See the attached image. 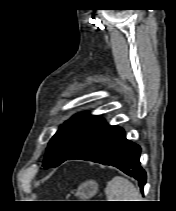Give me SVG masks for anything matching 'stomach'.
I'll return each mask as SVG.
<instances>
[{
  "label": "stomach",
  "instance_id": "obj_1",
  "mask_svg": "<svg viewBox=\"0 0 176 211\" xmlns=\"http://www.w3.org/2000/svg\"><path fill=\"white\" fill-rule=\"evenodd\" d=\"M98 191V184L96 181L89 180L83 183L77 190V194L84 198H90L94 196Z\"/></svg>",
  "mask_w": 176,
  "mask_h": 211
}]
</instances>
